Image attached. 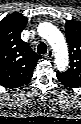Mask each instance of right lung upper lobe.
Returning a JSON list of instances; mask_svg holds the SVG:
<instances>
[{
  "label": "right lung upper lobe",
  "mask_w": 81,
  "mask_h": 124,
  "mask_svg": "<svg viewBox=\"0 0 81 124\" xmlns=\"http://www.w3.org/2000/svg\"><path fill=\"white\" fill-rule=\"evenodd\" d=\"M28 19L15 12L0 21V85L17 88L26 84L33 75L37 61L41 59L21 39V32Z\"/></svg>",
  "instance_id": "1"
}]
</instances>
